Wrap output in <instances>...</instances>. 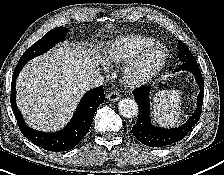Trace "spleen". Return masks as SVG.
I'll return each instance as SVG.
<instances>
[{"label":"spleen","instance_id":"obj_1","mask_svg":"<svg viewBox=\"0 0 224 175\" xmlns=\"http://www.w3.org/2000/svg\"><path fill=\"white\" fill-rule=\"evenodd\" d=\"M181 92L161 91L153 96L154 120L162 126H173L179 123L181 115Z\"/></svg>","mask_w":224,"mask_h":175}]
</instances>
